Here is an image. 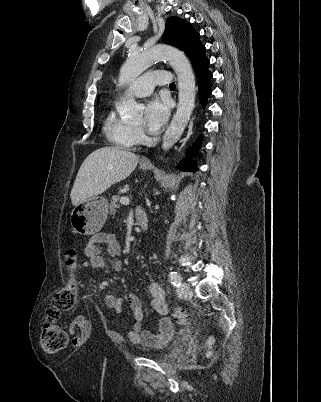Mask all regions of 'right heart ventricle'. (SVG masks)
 <instances>
[{
	"label": "right heart ventricle",
	"instance_id": "obj_1",
	"mask_svg": "<svg viewBox=\"0 0 321 402\" xmlns=\"http://www.w3.org/2000/svg\"><path fill=\"white\" fill-rule=\"evenodd\" d=\"M104 133L114 146L122 149L134 148L138 141L135 136V127L110 110L104 120Z\"/></svg>",
	"mask_w": 321,
	"mask_h": 402
}]
</instances>
